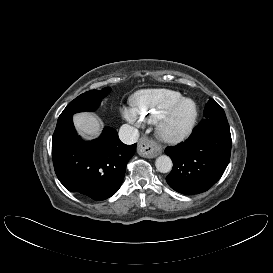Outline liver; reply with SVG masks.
I'll return each instance as SVG.
<instances>
[{
    "mask_svg": "<svg viewBox=\"0 0 273 273\" xmlns=\"http://www.w3.org/2000/svg\"><path fill=\"white\" fill-rule=\"evenodd\" d=\"M76 128L84 135L95 138L101 133L99 120L90 113H79L74 116Z\"/></svg>",
    "mask_w": 273,
    "mask_h": 273,
    "instance_id": "1",
    "label": "liver"
}]
</instances>
